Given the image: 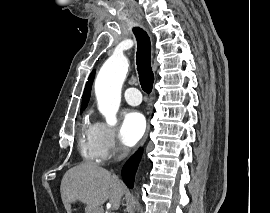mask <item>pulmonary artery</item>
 Wrapping results in <instances>:
<instances>
[{
	"mask_svg": "<svg viewBox=\"0 0 270 213\" xmlns=\"http://www.w3.org/2000/svg\"><path fill=\"white\" fill-rule=\"evenodd\" d=\"M124 97L127 103L133 106L139 105L142 101L141 93L136 88H128L124 92Z\"/></svg>",
	"mask_w": 270,
	"mask_h": 213,
	"instance_id": "e3ab8cb5",
	"label": "pulmonary artery"
}]
</instances>
